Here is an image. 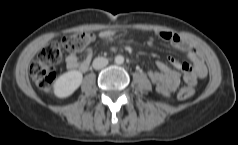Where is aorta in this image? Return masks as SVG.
I'll use <instances>...</instances> for the list:
<instances>
[{
  "mask_svg": "<svg viewBox=\"0 0 238 145\" xmlns=\"http://www.w3.org/2000/svg\"><path fill=\"white\" fill-rule=\"evenodd\" d=\"M115 63L120 65V64H123L124 63V57L122 55H117L115 57Z\"/></svg>",
  "mask_w": 238,
  "mask_h": 145,
  "instance_id": "obj_1",
  "label": "aorta"
}]
</instances>
